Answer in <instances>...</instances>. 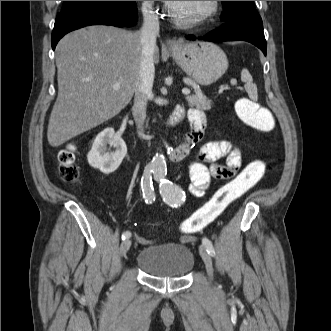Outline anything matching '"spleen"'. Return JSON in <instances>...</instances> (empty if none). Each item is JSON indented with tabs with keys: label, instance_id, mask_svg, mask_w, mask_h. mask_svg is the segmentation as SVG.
Here are the masks:
<instances>
[{
	"label": "spleen",
	"instance_id": "spleen-1",
	"mask_svg": "<svg viewBox=\"0 0 331 331\" xmlns=\"http://www.w3.org/2000/svg\"><path fill=\"white\" fill-rule=\"evenodd\" d=\"M241 79L244 81L245 84V89L249 95V97L256 101L258 99V94H257V86L253 84V79L251 74L247 69H243L241 72Z\"/></svg>",
	"mask_w": 331,
	"mask_h": 331
}]
</instances>
